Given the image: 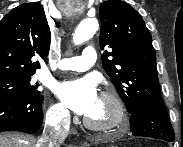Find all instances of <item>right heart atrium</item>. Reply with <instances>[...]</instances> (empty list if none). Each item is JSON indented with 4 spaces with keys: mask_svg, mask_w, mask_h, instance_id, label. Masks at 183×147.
I'll return each mask as SVG.
<instances>
[{
    "mask_svg": "<svg viewBox=\"0 0 183 147\" xmlns=\"http://www.w3.org/2000/svg\"><path fill=\"white\" fill-rule=\"evenodd\" d=\"M69 112L61 103L51 104L46 112V119L53 126L65 127L69 123Z\"/></svg>",
    "mask_w": 183,
    "mask_h": 147,
    "instance_id": "obj_1",
    "label": "right heart atrium"
}]
</instances>
